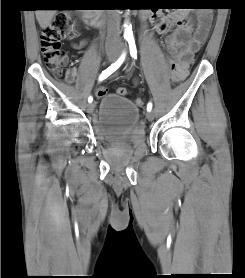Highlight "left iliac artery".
Returning a JSON list of instances; mask_svg holds the SVG:
<instances>
[{
    "label": "left iliac artery",
    "mask_w": 245,
    "mask_h": 278,
    "mask_svg": "<svg viewBox=\"0 0 245 278\" xmlns=\"http://www.w3.org/2000/svg\"><path fill=\"white\" fill-rule=\"evenodd\" d=\"M128 43H129V48H130V55L136 59L137 58V50H136V45H135V41L134 38L132 36L128 37L127 39ZM152 109V103L149 102L147 104V111H151Z\"/></svg>",
    "instance_id": "left-iliac-artery-1"
}]
</instances>
